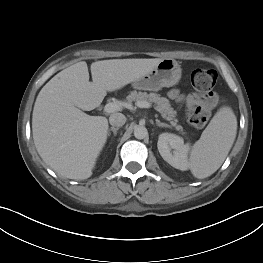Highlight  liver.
Segmentation results:
<instances>
[{
	"instance_id": "obj_1",
	"label": "liver",
	"mask_w": 263,
	"mask_h": 263,
	"mask_svg": "<svg viewBox=\"0 0 263 263\" xmlns=\"http://www.w3.org/2000/svg\"><path fill=\"white\" fill-rule=\"evenodd\" d=\"M162 59L85 61L56 74L39 92L32 114L33 140L42 160L59 176L84 180L92 175L108 133V120L83 111L98 107L107 92L149 73Z\"/></svg>"
}]
</instances>
